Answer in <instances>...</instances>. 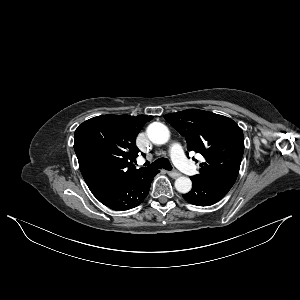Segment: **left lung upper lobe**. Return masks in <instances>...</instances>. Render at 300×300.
I'll return each instance as SVG.
<instances>
[{
	"mask_svg": "<svg viewBox=\"0 0 300 300\" xmlns=\"http://www.w3.org/2000/svg\"><path fill=\"white\" fill-rule=\"evenodd\" d=\"M164 118L185 136L188 151L205 158L200 173L192 178L230 190L244 152V135L238 124L228 117L198 109L170 113Z\"/></svg>",
	"mask_w": 300,
	"mask_h": 300,
	"instance_id": "5c2ea615",
	"label": "left lung upper lobe"
}]
</instances>
